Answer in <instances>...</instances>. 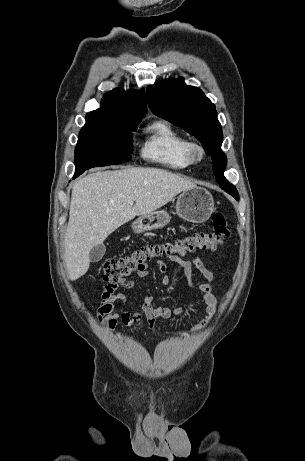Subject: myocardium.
I'll return each instance as SVG.
<instances>
[{
  "mask_svg": "<svg viewBox=\"0 0 305 461\" xmlns=\"http://www.w3.org/2000/svg\"><path fill=\"white\" fill-rule=\"evenodd\" d=\"M188 154L192 161L199 162L205 156V149L203 145L198 142H190L188 145Z\"/></svg>",
  "mask_w": 305,
  "mask_h": 461,
  "instance_id": "myocardium-1",
  "label": "myocardium"
}]
</instances>
